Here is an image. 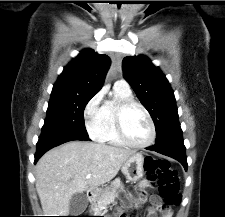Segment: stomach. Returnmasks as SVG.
I'll list each match as a JSON object with an SVG mask.
<instances>
[{
    "mask_svg": "<svg viewBox=\"0 0 225 217\" xmlns=\"http://www.w3.org/2000/svg\"><path fill=\"white\" fill-rule=\"evenodd\" d=\"M144 164L145 158L143 155L141 153H135L124 162L121 171L129 181L136 182L144 175ZM103 192L104 191H98L92 200H98Z\"/></svg>",
    "mask_w": 225,
    "mask_h": 217,
    "instance_id": "0dacf381",
    "label": "stomach"
}]
</instances>
